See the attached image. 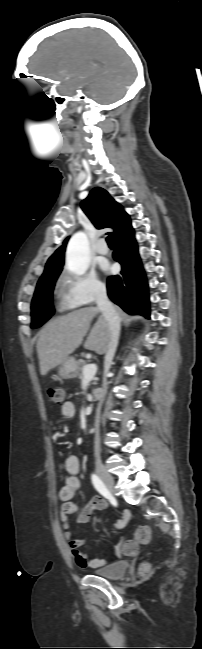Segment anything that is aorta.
Returning a JSON list of instances; mask_svg holds the SVG:
<instances>
[{
	"mask_svg": "<svg viewBox=\"0 0 202 649\" xmlns=\"http://www.w3.org/2000/svg\"><path fill=\"white\" fill-rule=\"evenodd\" d=\"M90 263L89 243L85 233H76L69 241L66 252V267L72 272L83 275Z\"/></svg>",
	"mask_w": 202,
	"mask_h": 649,
	"instance_id": "aorta-1",
	"label": "aorta"
}]
</instances>
